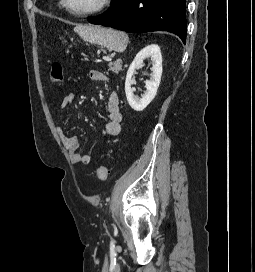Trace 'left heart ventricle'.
<instances>
[{
  "label": "left heart ventricle",
  "mask_w": 255,
  "mask_h": 272,
  "mask_svg": "<svg viewBox=\"0 0 255 272\" xmlns=\"http://www.w3.org/2000/svg\"><path fill=\"white\" fill-rule=\"evenodd\" d=\"M68 5L75 11H85L96 7L101 0H67Z\"/></svg>",
  "instance_id": "1"
}]
</instances>
